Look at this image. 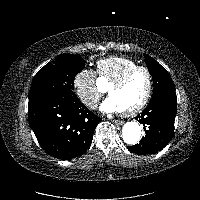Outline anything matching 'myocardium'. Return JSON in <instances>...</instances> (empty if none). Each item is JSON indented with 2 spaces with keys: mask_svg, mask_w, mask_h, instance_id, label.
<instances>
[{
  "mask_svg": "<svg viewBox=\"0 0 200 200\" xmlns=\"http://www.w3.org/2000/svg\"><path fill=\"white\" fill-rule=\"evenodd\" d=\"M138 72H144L147 75L148 84H147L146 93H145L144 97L142 98V100L137 105H135L134 107H132L130 109L121 111L120 113L123 116L135 115V114L139 113L141 110H143L144 107L148 104V102L151 98V95H152V91H153L152 73L146 67H143V66L135 67V68L129 70L128 72H126L124 75H122L115 82L110 84V86L108 88V94L110 95L111 91L122 87L133 75H135Z\"/></svg>",
  "mask_w": 200,
  "mask_h": 200,
  "instance_id": "obj_1",
  "label": "myocardium"
}]
</instances>
